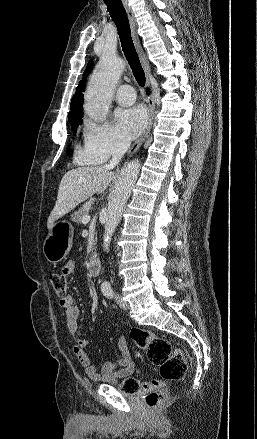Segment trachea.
I'll list each match as a JSON object with an SVG mask.
<instances>
[{
    "label": "trachea",
    "instance_id": "3493384b",
    "mask_svg": "<svg viewBox=\"0 0 257 439\" xmlns=\"http://www.w3.org/2000/svg\"><path fill=\"white\" fill-rule=\"evenodd\" d=\"M108 12L115 22L119 38L121 41L122 50L132 69L133 75L140 86L145 85V73L139 61L138 54L134 47L129 21L126 11L122 5L121 0H104Z\"/></svg>",
    "mask_w": 257,
    "mask_h": 439
}]
</instances>
